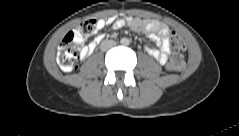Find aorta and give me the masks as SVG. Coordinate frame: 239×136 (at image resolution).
Masks as SVG:
<instances>
[{"mask_svg":"<svg viewBox=\"0 0 239 136\" xmlns=\"http://www.w3.org/2000/svg\"><path fill=\"white\" fill-rule=\"evenodd\" d=\"M120 42H121L122 45H128L129 44V40L126 39V38L121 39Z\"/></svg>","mask_w":239,"mask_h":136,"instance_id":"1","label":"aorta"}]
</instances>
